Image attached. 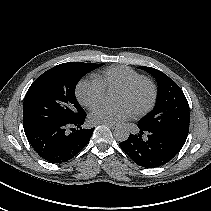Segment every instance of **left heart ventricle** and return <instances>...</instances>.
<instances>
[{"label": "left heart ventricle", "mask_w": 211, "mask_h": 211, "mask_svg": "<svg viewBox=\"0 0 211 211\" xmlns=\"http://www.w3.org/2000/svg\"><path fill=\"white\" fill-rule=\"evenodd\" d=\"M151 90L147 85H141L132 92L118 90L114 101L117 104H126L132 111L144 107L150 100Z\"/></svg>", "instance_id": "left-heart-ventricle-1"}]
</instances>
